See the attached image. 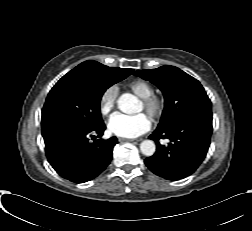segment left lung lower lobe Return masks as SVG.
Segmentation results:
<instances>
[{
    "label": "left lung lower lobe",
    "instance_id": "obj_1",
    "mask_svg": "<svg viewBox=\"0 0 252 231\" xmlns=\"http://www.w3.org/2000/svg\"><path fill=\"white\" fill-rule=\"evenodd\" d=\"M212 129V115L191 114L155 130L149 138L157 143V149L144 160L146 166L168 180L191 175L206 156ZM160 138L169 139L168 146L161 145Z\"/></svg>",
    "mask_w": 252,
    "mask_h": 231
}]
</instances>
